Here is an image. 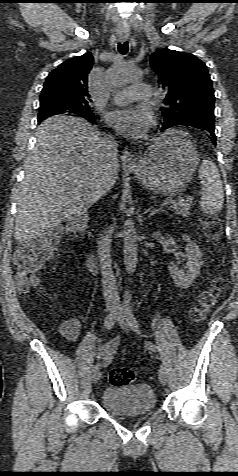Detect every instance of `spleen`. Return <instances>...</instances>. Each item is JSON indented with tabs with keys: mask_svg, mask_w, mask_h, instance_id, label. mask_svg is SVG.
<instances>
[{
	"mask_svg": "<svg viewBox=\"0 0 238 476\" xmlns=\"http://www.w3.org/2000/svg\"><path fill=\"white\" fill-rule=\"evenodd\" d=\"M198 172L203 186L200 207L206 213L216 214L224 204V193L218 168L212 160L205 158Z\"/></svg>",
	"mask_w": 238,
	"mask_h": 476,
	"instance_id": "obj_1",
	"label": "spleen"
}]
</instances>
